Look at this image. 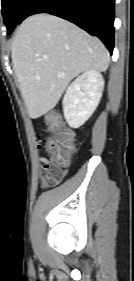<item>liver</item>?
Here are the masks:
<instances>
[{"label":"liver","mask_w":134,"mask_h":281,"mask_svg":"<svg viewBox=\"0 0 134 281\" xmlns=\"http://www.w3.org/2000/svg\"><path fill=\"white\" fill-rule=\"evenodd\" d=\"M12 63L28 114L52 110L70 81L88 70L104 72L110 56L97 38L49 14L25 19L11 46Z\"/></svg>","instance_id":"liver-1"}]
</instances>
